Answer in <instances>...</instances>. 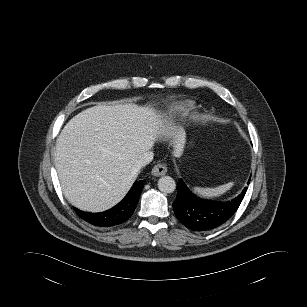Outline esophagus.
Masks as SVG:
<instances>
[{
	"mask_svg": "<svg viewBox=\"0 0 307 307\" xmlns=\"http://www.w3.org/2000/svg\"><path fill=\"white\" fill-rule=\"evenodd\" d=\"M167 172V167L164 164H156L152 170L151 173L153 176H163Z\"/></svg>",
	"mask_w": 307,
	"mask_h": 307,
	"instance_id": "obj_1",
	"label": "esophagus"
}]
</instances>
